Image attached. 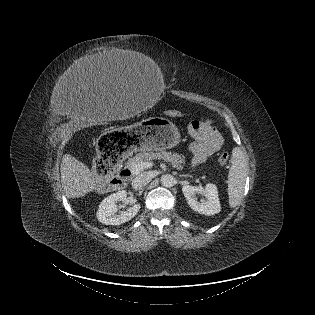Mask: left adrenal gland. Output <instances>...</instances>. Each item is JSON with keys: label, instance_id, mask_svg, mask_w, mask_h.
<instances>
[{"label": "left adrenal gland", "instance_id": "1", "mask_svg": "<svg viewBox=\"0 0 315 315\" xmlns=\"http://www.w3.org/2000/svg\"><path fill=\"white\" fill-rule=\"evenodd\" d=\"M179 177H191V175H189V174H181V175H179Z\"/></svg>", "mask_w": 315, "mask_h": 315}]
</instances>
